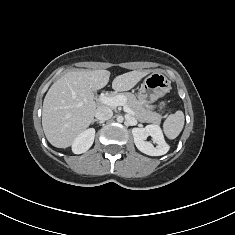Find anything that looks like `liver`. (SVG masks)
Listing matches in <instances>:
<instances>
[{"label":"liver","mask_w":235,"mask_h":235,"mask_svg":"<svg viewBox=\"0 0 235 235\" xmlns=\"http://www.w3.org/2000/svg\"><path fill=\"white\" fill-rule=\"evenodd\" d=\"M149 71H131L114 78L117 92L132 89ZM108 70L70 71L48 90L42 110V126L47 140L57 148H67L94 120L93 91L109 82Z\"/></svg>","instance_id":"obj_1"}]
</instances>
